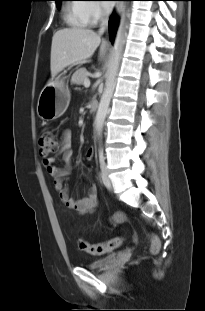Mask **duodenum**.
<instances>
[{
    "mask_svg": "<svg viewBox=\"0 0 205 311\" xmlns=\"http://www.w3.org/2000/svg\"><path fill=\"white\" fill-rule=\"evenodd\" d=\"M98 107H99V104H98L97 101L91 102V104H90V111H91V113L95 114L97 112V110H98Z\"/></svg>",
    "mask_w": 205,
    "mask_h": 311,
    "instance_id": "1",
    "label": "duodenum"
}]
</instances>
